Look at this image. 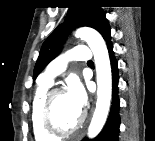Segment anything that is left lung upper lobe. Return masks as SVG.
Masks as SVG:
<instances>
[{"mask_svg": "<svg viewBox=\"0 0 155 141\" xmlns=\"http://www.w3.org/2000/svg\"><path fill=\"white\" fill-rule=\"evenodd\" d=\"M97 0H79L71 6L64 24L59 25L43 43L34 67L33 78L60 52L68 32L75 26H89L104 38L110 35V26Z\"/></svg>", "mask_w": 155, "mask_h": 141, "instance_id": "1", "label": "left lung upper lobe"}]
</instances>
